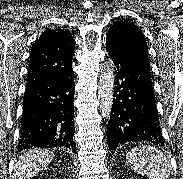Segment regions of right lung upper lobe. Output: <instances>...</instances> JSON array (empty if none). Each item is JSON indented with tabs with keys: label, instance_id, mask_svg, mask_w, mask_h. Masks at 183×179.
I'll list each match as a JSON object with an SVG mask.
<instances>
[{
	"label": "right lung upper lobe",
	"instance_id": "right-lung-upper-lobe-1",
	"mask_svg": "<svg viewBox=\"0 0 183 179\" xmlns=\"http://www.w3.org/2000/svg\"><path fill=\"white\" fill-rule=\"evenodd\" d=\"M75 43L67 29H47L31 48L27 81L72 76Z\"/></svg>",
	"mask_w": 183,
	"mask_h": 179
}]
</instances>
